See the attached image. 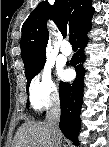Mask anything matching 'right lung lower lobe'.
<instances>
[{
	"label": "right lung lower lobe",
	"instance_id": "right-lung-lower-lobe-1",
	"mask_svg": "<svg viewBox=\"0 0 109 147\" xmlns=\"http://www.w3.org/2000/svg\"><path fill=\"white\" fill-rule=\"evenodd\" d=\"M91 28V22H89L85 28L77 35L79 44V51L71 59V65L74 66L77 77L72 84L61 82L59 85L60 93V105H61V119L59 127L62 133L71 141L77 145L78 133L80 130V109L82 106L83 96V79L85 69L82 66L84 61V47L88 42L86 37L87 32Z\"/></svg>",
	"mask_w": 109,
	"mask_h": 147
}]
</instances>
